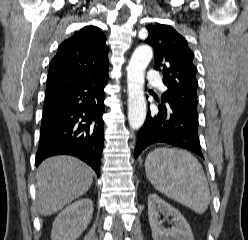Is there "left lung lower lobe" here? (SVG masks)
Here are the masks:
<instances>
[{
    "label": "left lung lower lobe",
    "instance_id": "1",
    "mask_svg": "<svg viewBox=\"0 0 248 240\" xmlns=\"http://www.w3.org/2000/svg\"><path fill=\"white\" fill-rule=\"evenodd\" d=\"M159 113L148 111L135 148L137 157L146 147L166 143L190 150L203 158L198 136L197 107L160 103Z\"/></svg>",
    "mask_w": 248,
    "mask_h": 240
}]
</instances>
